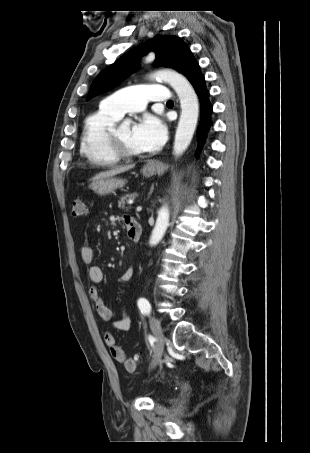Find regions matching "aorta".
<instances>
[{"label": "aorta", "mask_w": 310, "mask_h": 453, "mask_svg": "<svg viewBox=\"0 0 310 453\" xmlns=\"http://www.w3.org/2000/svg\"><path fill=\"white\" fill-rule=\"evenodd\" d=\"M167 83L176 92L181 105V115L175 134L173 154L182 155L191 143L199 115V102L197 94L189 81L174 70L163 69L151 75ZM169 225V208L164 205L158 211L155 227L150 237V244L157 245L163 238Z\"/></svg>", "instance_id": "1"}]
</instances>
